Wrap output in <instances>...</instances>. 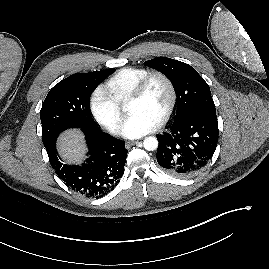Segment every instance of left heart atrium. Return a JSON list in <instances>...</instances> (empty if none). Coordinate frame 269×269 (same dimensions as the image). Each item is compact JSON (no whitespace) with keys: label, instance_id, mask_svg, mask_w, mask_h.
Instances as JSON below:
<instances>
[{"label":"left heart atrium","instance_id":"left-heart-atrium-1","mask_svg":"<svg viewBox=\"0 0 269 269\" xmlns=\"http://www.w3.org/2000/svg\"><path fill=\"white\" fill-rule=\"evenodd\" d=\"M157 123L149 117L141 114H131L122 126V135L134 139L144 136L155 130Z\"/></svg>","mask_w":269,"mask_h":269}]
</instances>
